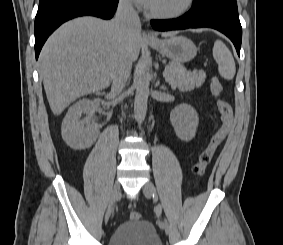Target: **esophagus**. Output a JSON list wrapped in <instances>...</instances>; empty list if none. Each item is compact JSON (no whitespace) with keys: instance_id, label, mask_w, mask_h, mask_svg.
Wrapping results in <instances>:
<instances>
[{"instance_id":"obj_1","label":"esophagus","mask_w":283,"mask_h":245,"mask_svg":"<svg viewBox=\"0 0 283 245\" xmlns=\"http://www.w3.org/2000/svg\"><path fill=\"white\" fill-rule=\"evenodd\" d=\"M143 37L147 41H155L156 40V36L151 31H148V30H146L144 32Z\"/></svg>"}]
</instances>
